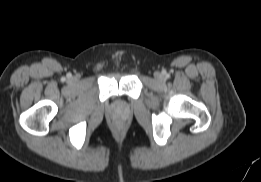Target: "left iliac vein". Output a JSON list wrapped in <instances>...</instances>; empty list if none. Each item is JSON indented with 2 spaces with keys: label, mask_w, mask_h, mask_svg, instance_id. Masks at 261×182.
<instances>
[{
  "label": "left iliac vein",
  "mask_w": 261,
  "mask_h": 182,
  "mask_svg": "<svg viewBox=\"0 0 261 182\" xmlns=\"http://www.w3.org/2000/svg\"><path fill=\"white\" fill-rule=\"evenodd\" d=\"M155 78L158 79V80H161L162 79V75L160 73H157L155 75Z\"/></svg>",
  "instance_id": "obj_1"
}]
</instances>
